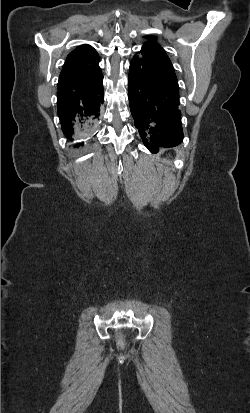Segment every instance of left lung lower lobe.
Segmentation results:
<instances>
[{
	"label": "left lung lower lobe",
	"instance_id": "obj_1",
	"mask_svg": "<svg viewBox=\"0 0 250 413\" xmlns=\"http://www.w3.org/2000/svg\"><path fill=\"white\" fill-rule=\"evenodd\" d=\"M128 86L134 124L150 152L180 144L183 131L178 82L168 56L158 44H145L133 57Z\"/></svg>",
	"mask_w": 250,
	"mask_h": 413
}]
</instances>
